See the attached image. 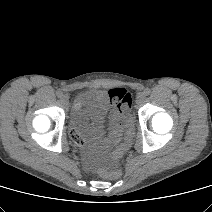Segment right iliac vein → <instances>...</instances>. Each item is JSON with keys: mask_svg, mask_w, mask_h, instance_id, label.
<instances>
[{"mask_svg": "<svg viewBox=\"0 0 212 212\" xmlns=\"http://www.w3.org/2000/svg\"><path fill=\"white\" fill-rule=\"evenodd\" d=\"M60 100H61V102H62L64 105H67V104H68V97H67V95H62V96L60 97Z\"/></svg>", "mask_w": 212, "mask_h": 212, "instance_id": "63e3f726", "label": "right iliac vein"}]
</instances>
